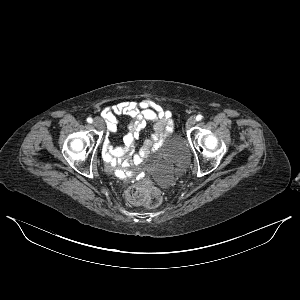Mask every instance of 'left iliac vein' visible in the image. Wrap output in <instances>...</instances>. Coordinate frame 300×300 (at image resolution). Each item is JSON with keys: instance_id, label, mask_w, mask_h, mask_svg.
Segmentation results:
<instances>
[{"instance_id": "1", "label": "left iliac vein", "mask_w": 300, "mask_h": 300, "mask_svg": "<svg viewBox=\"0 0 300 300\" xmlns=\"http://www.w3.org/2000/svg\"><path fill=\"white\" fill-rule=\"evenodd\" d=\"M196 123V118L194 116H191L188 118L187 122H186V127L189 129L191 127H193Z\"/></svg>"}]
</instances>
